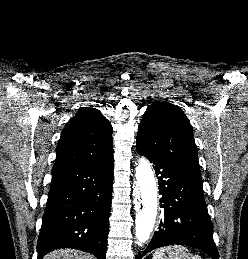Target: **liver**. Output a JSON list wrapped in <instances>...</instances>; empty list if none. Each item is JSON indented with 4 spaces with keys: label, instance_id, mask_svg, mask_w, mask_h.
<instances>
[{
    "label": "liver",
    "instance_id": "obj_1",
    "mask_svg": "<svg viewBox=\"0 0 248 259\" xmlns=\"http://www.w3.org/2000/svg\"><path fill=\"white\" fill-rule=\"evenodd\" d=\"M43 259H94V257L73 249H60L50 252Z\"/></svg>",
    "mask_w": 248,
    "mask_h": 259
}]
</instances>
